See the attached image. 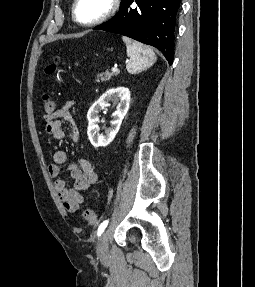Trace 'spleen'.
Segmentation results:
<instances>
[{
    "instance_id": "1",
    "label": "spleen",
    "mask_w": 255,
    "mask_h": 287,
    "mask_svg": "<svg viewBox=\"0 0 255 287\" xmlns=\"http://www.w3.org/2000/svg\"><path fill=\"white\" fill-rule=\"evenodd\" d=\"M122 40L124 44H126L127 56L130 58V62H128L126 66L130 74H135V72H139V70L149 68L150 64L155 62V54L149 46H144V44L135 42V40L126 38V36H122Z\"/></svg>"
}]
</instances>
